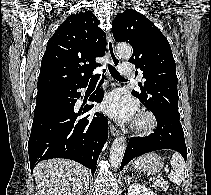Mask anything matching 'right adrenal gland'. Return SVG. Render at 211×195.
Instances as JSON below:
<instances>
[{"label": "right adrenal gland", "mask_w": 211, "mask_h": 195, "mask_svg": "<svg viewBox=\"0 0 211 195\" xmlns=\"http://www.w3.org/2000/svg\"><path fill=\"white\" fill-rule=\"evenodd\" d=\"M89 189V185H88V187L86 188V191Z\"/></svg>", "instance_id": "1"}]
</instances>
